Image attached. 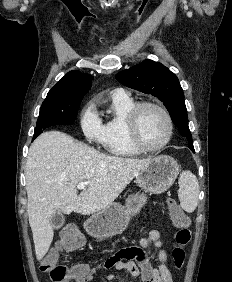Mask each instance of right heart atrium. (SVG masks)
<instances>
[{
  "label": "right heart atrium",
  "mask_w": 232,
  "mask_h": 282,
  "mask_svg": "<svg viewBox=\"0 0 232 282\" xmlns=\"http://www.w3.org/2000/svg\"><path fill=\"white\" fill-rule=\"evenodd\" d=\"M80 126L85 137L91 142H101L103 124L93 105L87 106L82 112Z\"/></svg>",
  "instance_id": "obj_1"
}]
</instances>
